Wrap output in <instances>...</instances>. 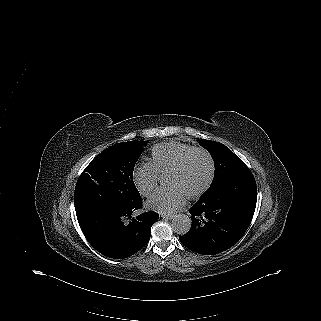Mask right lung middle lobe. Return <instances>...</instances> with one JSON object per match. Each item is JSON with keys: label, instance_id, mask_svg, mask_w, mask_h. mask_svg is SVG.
Segmentation results:
<instances>
[{"label": "right lung middle lobe", "instance_id": "dd1d6c3e", "mask_svg": "<svg viewBox=\"0 0 321 321\" xmlns=\"http://www.w3.org/2000/svg\"><path fill=\"white\" fill-rule=\"evenodd\" d=\"M144 144V141L117 143L90 162L75 187L76 213L104 207L132 206L141 199L132 178Z\"/></svg>", "mask_w": 321, "mask_h": 321}]
</instances>
